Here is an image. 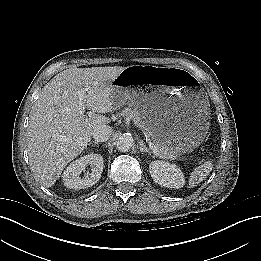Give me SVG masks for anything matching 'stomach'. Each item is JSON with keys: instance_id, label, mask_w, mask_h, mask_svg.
Returning <instances> with one entry per match:
<instances>
[{"instance_id": "stomach-1", "label": "stomach", "mask_w": 261, "mask_h": 261, "mask_svg": "<svg viewBox=\"0 0 261 261\" xmlns=\"http://www.w3.org/2000/svg\"><path fill=\"white\" fill-rule=\"evenodd\" d=\"M141 74L156 79L151 92L125 84ZM115 80L114 107L128 100L145 117L154 141L170 145L177 154L191 152L201 144L209 128L208 98L191 75L174 68L130 66Z\"/></svg>"}]
</instances>
